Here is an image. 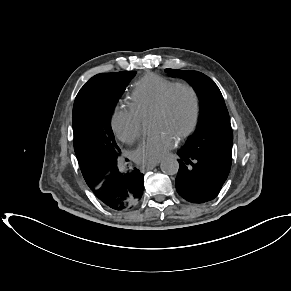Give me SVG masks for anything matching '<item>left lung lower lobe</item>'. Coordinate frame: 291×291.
I'll use <instances>...</instances> for the list:
<instances>
[{
    "instance_id": "0a47b994",
    "label": "left lung lower lobe",
    "mask_w": 291,
    "mask_h": 291,
    "mask_svg": "<svg viewBox=\"0 0 291 291\" xmlns=\"http://www.w3.org/2000/svg\"><path fill=\"white\" fill-rule=\"evenodd\" d=\"M175 181L178 194L191 203H205L213 200L226 181L231 163L183 149Z\"/></svg>"
}]
</instances>
